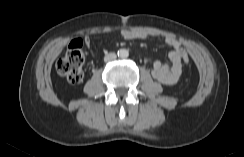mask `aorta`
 Listing matches in <instances>:
<instances>
[{
    "label": "aorta",
    "mask_w": 244,
    "mask_h": 157,
    "mask_svg": "<svg viewBox=\"0 0 244 157\" xmlns=\"http://www.w3.org/2000/svg\"><path fill=\"white\" fill-rule=\"evenodd\" d=\"M118 55L120 58H127L129 56V52L126 49H120L118 51Z\"/></svg>",
    "instance_id": "obj_1"
}]
</instances>
